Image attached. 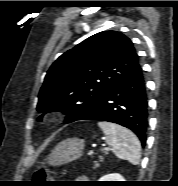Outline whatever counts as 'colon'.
<instances>
[{
    "label": "colon",
    "instance_id": "5ec220e1",
    "mask_svg": "<svg viewBox=\"0 0 178 186\" xmlns=\"http://www.w3.org/2000/svg\"><path fill=\"white\" fill-rule=\"evenodd\" d=\"M37 180H47L48 171L44 165H42L35 174Z\"/></svg>",
    "mask_w": 178,
    "mask_h": 186
}]
</instances>
